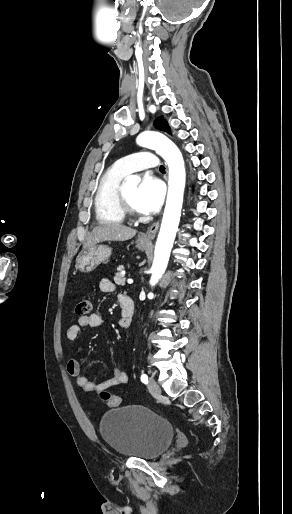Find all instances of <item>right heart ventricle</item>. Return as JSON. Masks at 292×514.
<instances>
[{"label": "right heart ventricle", "instance_id": "right-heart-ventricle-1", "mask_svg": "<svg viewBox=\"0 0 292 514\" xmlns=\"http://www.w3.org/2000/svg\"><path fill=\"white\" fill-rule=\"evenodd\" d=\"M125 178L119 172L108 169L100 178L95 190L93 208L95 218L100 224L122 223L125 217L117 210L114 195Z\"/></svg>", "mask_w": 292, "mask_h": 514}]
</instances>
